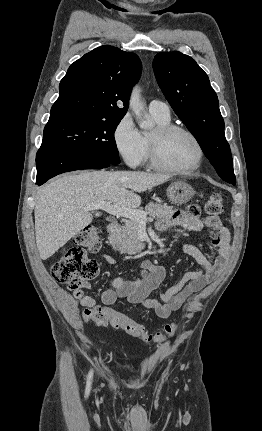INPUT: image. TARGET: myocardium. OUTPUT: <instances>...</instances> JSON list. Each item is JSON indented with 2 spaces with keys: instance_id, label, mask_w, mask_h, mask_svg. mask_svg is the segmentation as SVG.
I'll return each instance as SVG.
<instances>
[{
  "instance_id": "myocardium-1",
  "label": "myocardium",
  "mask_w": 262,
  "mask_h": 431,
  "mask_svg": "<svg viewBox=\"0 0 262 431\" xmlns=\"http://www.w3.org/2000/svg\"><path fill=\"white\" fill-rule=\"evenodd\" d=\"M184 133L187 136H189L193 142L196 145L197 148V160L194 166L190 169H181V168H174L167 164H165L161 158L160 153V144L163 141L164 138L167 136L174 134V133ZM204 148L199 140V138L196 136L194 132L189 130L186 127L174 125V124H167V125H159L154 130L153 134L149 137V158L150 163L152 167L155 169L169 173V174H175V175H183V176H189L196 172L200 167L202 166L203 160H204Z\"/></svg>"
}]
</instances>
